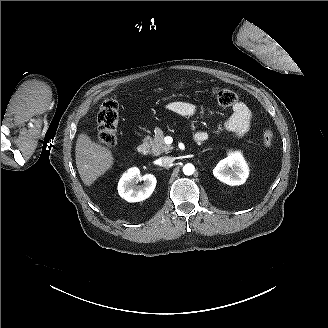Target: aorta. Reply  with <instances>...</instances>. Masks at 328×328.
I'll return each instance as SVG.
<instances>
[{
	"mask_svg": "<svg viewBox=\"0 0 328 328\" xmlns=\"http://www.w3.org/2000/svg\"><path fill=\"white\" fill-rule=\"evenodd\" d=\"M195 171V167L193 164L188 163L183 166V173L185 175H192Z\"/></svg>",
	"mask_w": 328,
	"mask_h": 328,
	"instance_id": "762f6f07",
	"label": "aorta"
}]
</instances>
